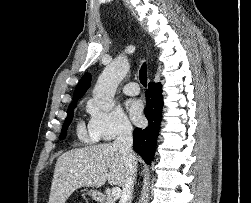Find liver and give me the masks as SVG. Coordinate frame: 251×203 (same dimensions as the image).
I'll return each instance as SVG.
<instances>
[{
  "instance_id": "6515ba94",
  "label": "liver",
  "mask_w": 251,
  "mask_h": 203,
  "mask_svg": "<svg viewBox=\"0 0 251 203\" xmlns=\"http://www.w3.org/2000/svg\"><path fill=\"white\" fill-rule=\"evenodd\" d=\"M125 176L122 155L111 143L67 151L57 159L49 203H65L78 188H98L106 181L122 187Z\"/></svg>"
}]
</instances>
